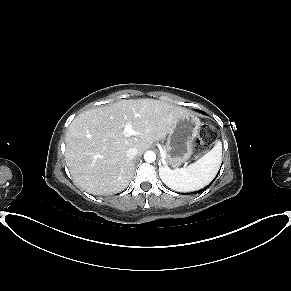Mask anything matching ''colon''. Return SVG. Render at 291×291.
<instances>
[{"label": "colon", "mask_w": 291, "mask_h": 291, "mask_svg": "<svg viewBox=\"0 0 291 291\" xmlns=\"http://www.w3.org/2000/svg\"><path fill=\"white\" fill-rule=\"evenodd\" d=\"M213 141V129L208 125H204L200 131L198 138L195 140L194 143L195 153L200 154L207 151L212 145Z\"/></svg>", "instance_id": "1"}]
</instances>
